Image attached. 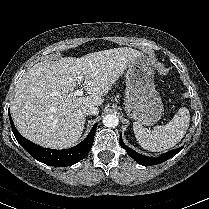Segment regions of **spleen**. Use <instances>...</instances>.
<instances>
[{
	"instance_id": "1",
	"label": "spleen",
	"mask_w": 209,
	"mask_h": 209,
	"mask_svg": "<svg viewBox=\"0 0 209 209\" xmlns=\"http://www.w3.org/2000/svg\"><path fill=\"white\" fill-rule=\"evenodd\" d=\"M189 122V110L182 107L166 125L155 126L152 131H149L140 123L134 122L133 130L141 147L152 152H160L181 141L188 130Z\"/></svg>"
}]
</instances>
